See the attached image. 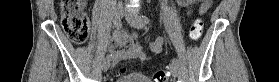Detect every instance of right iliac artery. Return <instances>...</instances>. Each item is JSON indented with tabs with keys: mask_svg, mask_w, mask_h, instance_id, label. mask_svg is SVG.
<instances>
[{
	"mask_svg": "<svg viewBox=\"0 0 279 82\" xmlns=\"http://www.w3.org/2000/svg\"><path fill=\"white\" fill-rule=\"evenodd\" d=\"M113 24H114V27L116 28L117 31L121 28V25H122L121 22H120V19L117 18V17H115ZM116 30H115V32L113 33V36L116 35V33H117ZM109 58H110V55L107 54L106 59L109 60Z\"/></svg>",
	"mask_w": 279,
	"mask_h": 82,
	"instance_id": "82829eb1",
	"label": "right iliac artery"
}]
</instances>
